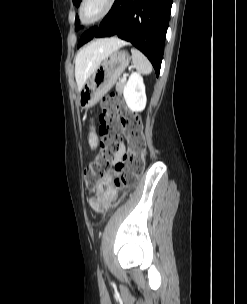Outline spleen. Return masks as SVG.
<instances>
[{
    "mask_svg": "<svg viewBox=\"0 0 247 304\" xmlns=\"http://www.w3.org/2000/svg\"><path fill=\"white\" fill-rule=\"evenodd\" d=\"M132 60L136 70L144 75H148L152 72V65L147 57L139 50L132 48Z\"/></svg>",
    "mask_w": 247,
    "mask_h": 304,
    "instance_id": "spleen-1",
    "label": "spleen"
}]
</instances>
